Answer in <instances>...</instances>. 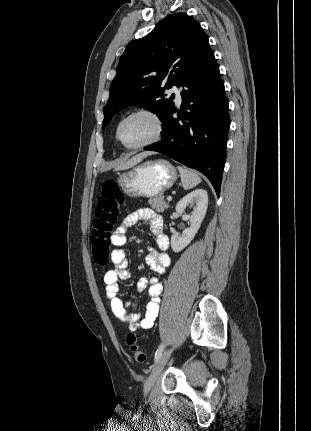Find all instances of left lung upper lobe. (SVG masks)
<instances>
[{
	"instance_id": "left-lung-upper-lobe-1",
	"label": "left lung upper lobe",
	"mask_w": 311,
	"mask_h": 431,
	"mask_svg": "<svg viewBox=\"0 0 311 431\" xmlns=\"http://www.w3.org/2000/svg\"><path fill=\"white\" fill-rule=\"evenodd\" d=\"M208 49L202 27L186 13L167 16L148 35L130 42L110 87L102 128L115 113L131 105L155 112L163 122L174 105V94L167 97L165 88L180 86Z\"/></svg>"
}]
</instances>
